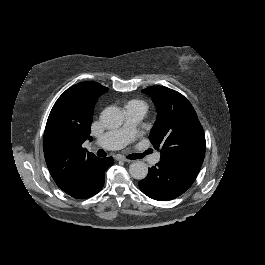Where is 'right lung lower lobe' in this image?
I'll return each mask as SVG.
<instances>
[{
	"label": "right lung lower lobe",
	"mask_w": 265,
	"mask_h": 265,
	"mask_svg": "<svg viewBox=\"0 0 265 265\" xmlns=\"http://www.w3.org/2000/svg\"><path fill=\"white\" fill-rule=\"evenodd\" d=\"M113 162L112 157L101 158L97 169L91 174L88 180L81 181L73 188L64 192L77 199H85L95 195L102 189L104 185V173Z\"/></svg>",
	"instance_id": "obj_1"
}]
</instances>
